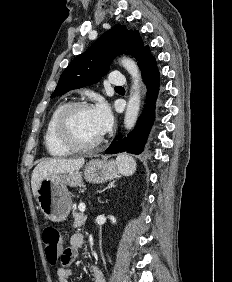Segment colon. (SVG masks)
<instances>
[{"label": "colon", "mask_w": 232, "mask_h": 282, "mask_svg": "<svg viewBox=\"0 0 232 282\" xmlns=\"http://www.w3.org/2000/svg\"><path fill=\"white\" fill-rule=\"evenodd\" d=\"M42 240L45 247L47 261L55 265L59 259L65 256L66 249L62 250V239L60 232L52 226H46L42 232Z\"/></svg>", "instance_id": "colon-1"}]
</instances>
